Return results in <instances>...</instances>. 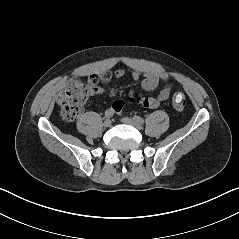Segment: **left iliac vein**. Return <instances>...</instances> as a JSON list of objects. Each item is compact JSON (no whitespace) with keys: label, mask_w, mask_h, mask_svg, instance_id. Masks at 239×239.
<instances>
[{"label":"left iliac vein","mask_w":239,"mask_h":239,"mask_svg":"<svg viewBox=\"0 0 239 239\" xmlns=\"http://www.w3.org/2000/svg\"><path fill=\"white\" fill-rule=\"evenodd\" d=\"M122 122H124L126 124H129V125H132L135 128H137V129H141L142 128L140 123H138L137 121H135L134 119L129 118V117L122 118Z\"/></svg>","instance_id":"left-iliac-vein-1"}]
</instances>
